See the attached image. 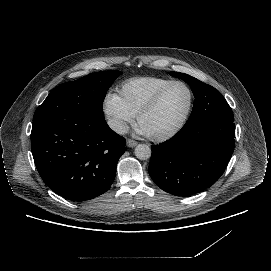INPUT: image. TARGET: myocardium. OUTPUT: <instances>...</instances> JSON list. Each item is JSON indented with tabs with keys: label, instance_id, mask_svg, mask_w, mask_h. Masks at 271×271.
<instances>
[{
	"label": "myocardium",
	"instance_id": "myocardium-1",
	"mask_svg": "<svg viewBox=\"0 0 271 271\" xmlns=\"http://www.w3.org/2000/svg\"><path fill=\"white\" fill-rule=\"evenodd\" d=\"M177 84H183L185 85L189 91H190V103L189 107L182 118V120L178 123L176 127H174L172 130L168 131L167 133L156 135V136H150V138L153 141L156 142H165L172 138H174L178 133L182 131V129L187 124L192 111L195 106V99L196 94L194 88L186 81L184 80H173L170 83H168L166 86H164L154 97L153 99L141 110V112L138 114L137 120L140 123L146 116H148L150 113H152L160 104L161 100L165 96V94L169 91L170 88Z\"/></svg>",
	"mask_w": 271,
	"mask_h": 271
}]
</instances>
